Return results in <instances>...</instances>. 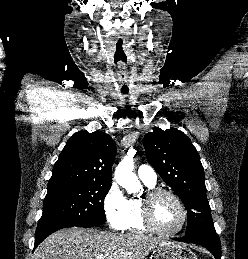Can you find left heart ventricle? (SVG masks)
Returning a JSON list of instances; mask_svg holds the SVG:
<instances>
[{
    "label": "left heart ventricle",
    "instance_id": "1",
    "mask_svg": "<svg viewBox=\"0 0 248 259\" xmlns=\"http://www.w3.org/2000/svg\"><path fill=\"white\" fill-rule=\"evenodd\" d=\"M153 216L156 225L164 231L175 230L181 222V210L169 196L158 197L153 205Z\"/></svg>",
    "mask_w": 248,
    "mask_h": 259
}]
</instances>
